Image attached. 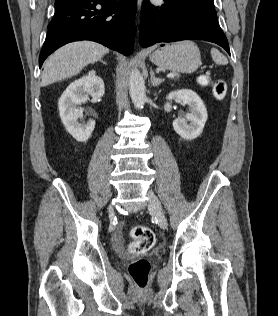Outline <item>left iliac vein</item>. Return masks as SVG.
<instances>
[{
  "instance_id": "left-iliac-vein-1",
  "label": "left iliac vein",
  "mask_w": 278,
  "mask_h": 316,
  "mask_svg": "<svg viewBox=\"0 0 278 316\" xmlns=\"http://www.w3.org/2000/svg\"><path fill=\"white\" fill-rule=\"evenodd\" d=\"M148 209L157 218L158 225L161 229H167V219L162 211L160 200L153 192H148Z\"/></svg>"
}]
</instances>
